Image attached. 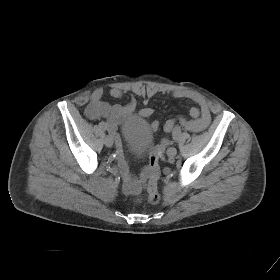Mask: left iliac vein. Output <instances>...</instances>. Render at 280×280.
I'll return each instance as SVG.
<instances>
[{"label": "left iliac vein", "mask_w": 280, "mask_h": 280, "mask_svg": "<svg viewBox=\"0 0 280 280\" xmlns=\"http://www.w3.org/2000/svg\"><path fill=\"white\" fill-rule=\"evenodd\" d=\"M176 154H177L176 148H174V147L168 148V150H167L168 157L173 158L176 156Z\"/></svg>", "instance_id": "left-iliac-vein-1"}]
</instances>
